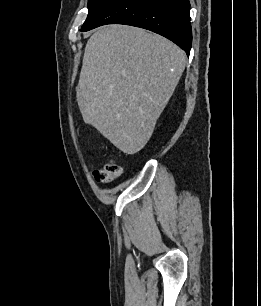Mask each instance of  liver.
Segmentation results:
<instances>
[{
	"instance_id": "obj_1",
	"label": "liver",
	"mask_w": 261,
	"mask_h": 306,
	"mask_svg": "<svg viewBox=\"0 0 261 306\" xmlns=\"http://www.w3.org/2000/svg\"><path fill=\"white\" fill-rule=\"evenodd\" d=\"M186 65L168 39L127 25H106L87 41L77 102L83 120L132 155L150 139Z\"/></svg>"
}]
</instances>
